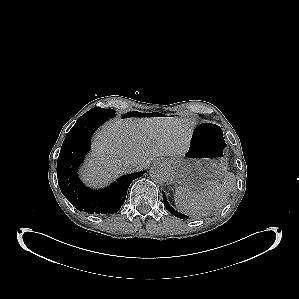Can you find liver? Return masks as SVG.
Returning <instances> with one entry per match:
<instances>
[{
    "label": "liver",
    "instance_id": "liver-1",
    "mask_svg": "<svg viewBox=\"0 0 299 299\" xmlns=\"http://www.w3.org/2000/svg\"><path fill=\"white\" fill-rule=\"evenodd\" d=\"M199 122L187 117L118 118L108 122L93 138L91 155L82 179L97 187L121 174L136 171L130 164L148 166L156 157L182 155ZM137 169V170H139Z\"/></svg>",
    "mask_w": 299,
    "mask_h": 299
}]
</instances>
